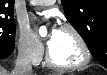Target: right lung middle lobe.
<instances>
[{
	"instance_id": "1",
	"label": "right lung middle lobe",
	"mask_w": 107,
	"mask_h": 75,
	"mask_svg": "<svg viewBox=\"0 0 107 75\" xmlns=\"http://www.w3.org/2000/svg\"><path fill=\"white\" fill-rule=\"evenodd\" d=\"M16 27L13 18H0V48H13Z\"/></svg>"
}]
</instances>
